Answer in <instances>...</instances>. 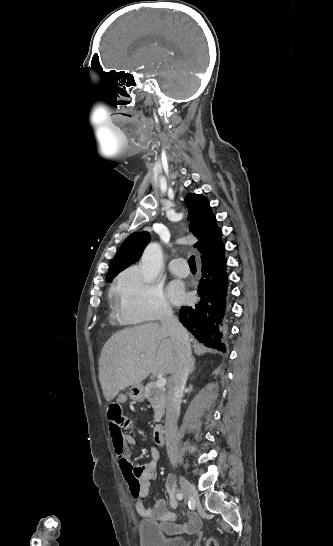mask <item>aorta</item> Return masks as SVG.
I'll return each mask as SVG.
<instances>
[{
  "label": "aorta",
  "mask_w": 333,
  "mask_h": 546,
  "mask_svg": "<svg viewBox=\"0 0 333 546\" xmlns=\"http://www.w3.org/2000/svg\"><path fill=\"white\" fill-rule=\"evenodd\" d=\"M163 264V253L158 243L149 244L143 252L140 268L146 283H153Z\"/></svg>",
  "instance_id": "762f6f07"
}]
</instances>
